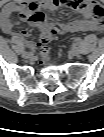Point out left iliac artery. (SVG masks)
<instances>
[{
	"instance_id": "44dca946",
	"label": "left iliac artery",
	"mask_w": 104,
	"mask_h": 137,
	"mask_svg": "<svg viewBox=\"0 0 104 137\" xmlns=\"http://www.w3.org/2000/svg\"><path fill=\"white\" fill-rule=\"evenodd\" d=\"M79 42H80V39L77 38V39H76V43L79 44Z\"/></svg>"
}]
</instances>
